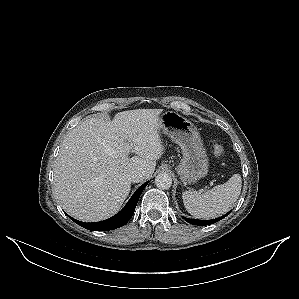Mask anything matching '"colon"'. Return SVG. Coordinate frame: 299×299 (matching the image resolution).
<instances>
[{"mask_svg": "<svg viewBox=\"0 0 299 299\" xmlns=\"http://www.w3.org/2000/svg\"><path fill=\"white\" fill-rule=\"evenodd\" d=\"M213 151H214L215 156H217V157H221L224 153L223 147L219 143H216V142L213 143Z\"/></svg>", "mask_w": 299, "mask_h": 299, "instance_id": "colon-1", "label": "colon"}]
</instances>
